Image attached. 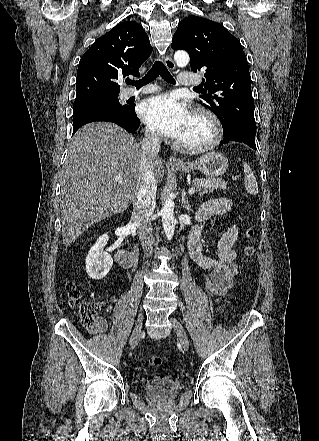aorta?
<instances>
[{
  "instance_id": "obj_1",
  "label": "aorta",
  "mask_w": 319,
  "mask_h": 441,
  "mask_svg": "<svg viewBox=\"0 0 319 441\" xmlns=\"http://www.w3.org/2000/svg\"><path fill=\"white\" fill-rule=\"evenodd\" d=\"M174 60L180 67H184L189 63V55L185 50H178L174 54ZM174 201L168 197L161 210L163 230L168 240H171L174 236L176 219L174 217Z\"/></svg>"
}]
</instances>
